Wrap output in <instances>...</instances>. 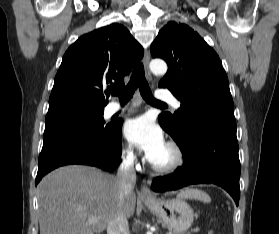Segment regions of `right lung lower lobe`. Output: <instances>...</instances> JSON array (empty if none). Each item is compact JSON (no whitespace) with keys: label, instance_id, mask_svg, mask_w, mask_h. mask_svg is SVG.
<instances>
[{"label":"right lung lower lobe","instance_id":"1","mask_svg":"<svg viewBox=\"0 0 279 234\" xmlns=\"http://www.w3.org/2000/svg\"><path fill=\"white\" fill-rule=\"evenodd\" d=\"M122 123H113L106 135L84 129H67L44 135L36 185L51 170L82 164L113 171L121 162Z\"/></svg>","mask_w":279,"mask_h":234}]
</instances>
